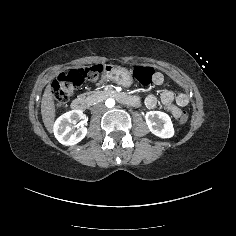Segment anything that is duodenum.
I'll return each mask as SVG.
<instances>
[{
  "label": "duodenum",
  "mask_w": 236,
  "mask_h": 236,
  "mask_svg": "<svg viewBox=\"0 0 236 236\" xmlns=\"http://www.w3.org/2000/svg\"><path fill=\"white\" fill-rule=\"evenodd\" d=\"M107 96L113 97L117 99L119 102L129 106L137 107L140 105V100L136 96H129L117 91H108ZM71 108L72 110L77 112L84 111L86 108V102L82 98H76L72 101Z\"/></svg>",
  "instance_id": "1"
}]
</instances>
